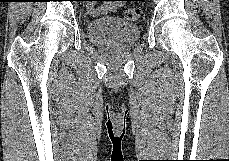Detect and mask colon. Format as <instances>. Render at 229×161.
Wrapping results in <instances>:
<instances>
[{
    "instance_id": "5ec220e1",
    "label": "colon",
    "mask_w": 229,
    "mask_h": 161,
    "mask_svg": "<svg viewBox=\"0 0 229 161\" xmlns=\"http://www.w3.org/2000/svg\"><path fill=\"white\" fill-rule=\"evenodd\" d=\"M90 4L89 6L92 7L94 5V2L97 0H89ZM112 1H116V0H112ZM141 15V10L138 8H129L126 10L125 12V17L128 20H137Z\"/></svg>"
}]
</instances>
